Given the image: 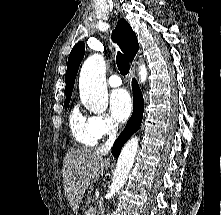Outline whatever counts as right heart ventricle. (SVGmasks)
Masks as SVG:
<instances>
[{"label":"right heart ventricle","instance_id":"e07e8e85","mask_svg":"<svg viewBox=\"0 0 221 215\" xmlns=\"http://www.w3.org/2000/svg\"><path fill=\"white\" fill-rule=\"evenodd\" d=\"M72 135L82 145L94 146L98 138L94 135L90 125V118L83 115L78 106L72 109L69 119Z\"/></svg>","mask_w":221,"mask_h":215}]
</instances>
